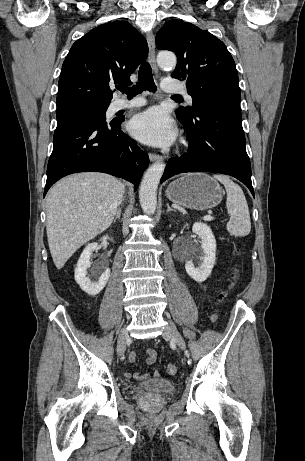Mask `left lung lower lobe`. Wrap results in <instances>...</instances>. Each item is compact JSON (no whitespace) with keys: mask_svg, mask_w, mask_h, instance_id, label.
<instances>
[{"mask_svg":"<svg viewBox=\"0 0 305 461\" xmlns=\"http://www.w3.org/2000/svg\"><path fill=\"white\" fill-rule=\"evenodd\" d=\"M177 118L186 130L189 149L169 159L160 182L184 172H218L243 182L254 196L239 102H214L192 118Z\"/></svg>","mask_w":305,"mask_h":461,"instance_id":"left-lung-lower-lobe-1","label":"left lung lower lobe"}]
</instances>
